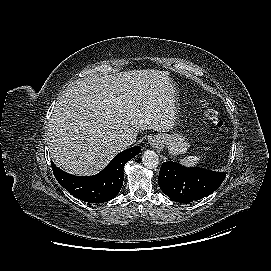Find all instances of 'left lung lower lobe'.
I'll return each mask as SVG.
<instances>
[{
	"mask_svg": "<svg viewBox=\"0 0 271 271\" xmlns=\"http://www.w3.org/2000/svg\"><path fill=\"white\" fill-rule=\"evenodd\" d=\"M226 173L202 168H186L179 163L164 162L158 183L170 199L180 203L200 200L213 193L224 181Z\"/></svg>",
	"mask_w": 271,
	"mask_h": 271,
	"instance_id": "0a47b994",
	"label": "left lung lower lobe"
}]
</instances>
